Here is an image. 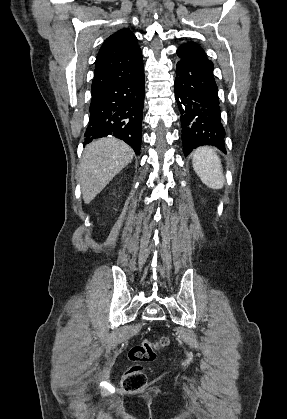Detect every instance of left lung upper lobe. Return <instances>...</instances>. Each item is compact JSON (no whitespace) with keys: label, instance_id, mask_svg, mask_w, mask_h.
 <instances>
[{"label":"left lung upper lobe","instance_id":"5c2ea615","mask_svg":"<svg viewBox=\"0 0 287 419\" xmlns=\"http://www.w3.org/2000/svg\"><path fill=\"white\" fill-rule=\"evenodd\" d=\"M181 60H187L194 63H210L203 49L194 42H188L180 46L177 50Z\"/></svg>","mask_w":287,"mask_h":419}]
</instances>
